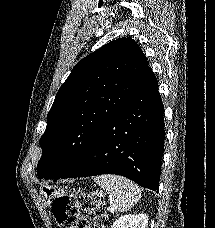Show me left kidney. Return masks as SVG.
I'll return each instance as SVG.
<instances>
[{"mask_svg":"<svg viewBox=\"0 0 215 228\" xmlns=\"http://www.w3.org/2000/svg\"><path fill=\"white\" fill-rule=\"evenodd\" d=\"M148 216L146 214H129V216H121L115 220L111 228H147Z\"/></svg>","mask_w":215,"mask_h":228,"instance_id":"5707ae66","label":"left kidney"}]
</instances>
